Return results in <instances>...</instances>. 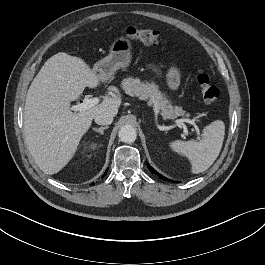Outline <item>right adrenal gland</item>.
<instances>
[{
    "instance_id": "obj_1",
    "label": "right adrenal gland",
    "mask_w": 265,
    "mask_h": 265,
    "mask_svg": "<svg viewBox=\"0 0 265 265\" xmlns=\"http://www.w3.org/2000/svg\"><path fill=\"white\" fill-rule=\"evenodd\" d=\"M108 126L100 127V128H93V131L100 133L101 135L104 134V130L108 129Z\"/></svg>"
}]
</instances>
